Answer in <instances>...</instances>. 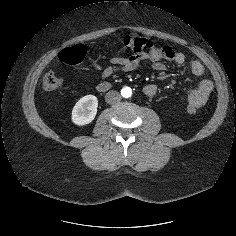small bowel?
I'll use <instances>...</instances> for the list:
<instances>
[{
    "label": "small bowel",
    "mask_w": 236,
    "mask_h": 236,
    "mask_svg": "<svg viewBox=\"0 0 236 236\" xmlns=\"http://www.w3.org/2000/svg\"><path fill=\"white\" fill-rule=\"evenodd\" d=\"M164 60H168L177 65H183L186 62V56L180 51H176L171 46H165L149 53H134L129 57H113L110 65L100 72L102 78H108L118 72H132L140 69L146 62L150 63L152 69L156 71H164L166 66ZM192 74L201 77L204 74V66L198 60H192L189 63ZM214 88L213 82L209 79H202L198 85L192 89L188 96V110L193 107L196 110L205 105ZM157 92V86L149 83L144 86V93L148 97H152ZM194 113V112H192Z\"/></svg>",
    "instance_id": "small-bowel-1"
}]
</instances>
